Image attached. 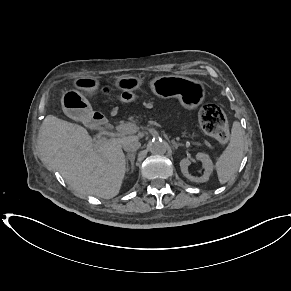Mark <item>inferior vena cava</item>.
Instances as JSON below:
<instances>
[{
  "mask_svg": "<svg viewBox=\"0 0 291 291\" xmlns=\"http://www.w3.org/2000/svg\"><path fill=\"white\" fill-rule=\"evenodd\" d=\"M141 147V143L138 140L129 141L123 144V149L126 152H135Z\"/></svg>",
  "mask_w": 291,
  "mask_h": 291,
  "instance_id": "1",
  "label": "inferior vena cava"
}]
</instances>
